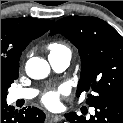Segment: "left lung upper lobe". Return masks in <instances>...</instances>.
<instances>
[{"label":"left lung upper lobe","mask_w":123,"mask_h":123,"mask_svg":"<svg viewBox=\"0 0 123 123\" xmlns=\"http://www.w3.org/2000/svg\"><path fill=\"white\" fill-rule=\"evenodd\" d=\"M60 33L79 51L82 69L77 97L88 94L87 103L123 101V38L105 21L95 17L71 16L58 20L50 35Z\"/></svg>","instance_id":"5c2ea615"}]
</instances>
